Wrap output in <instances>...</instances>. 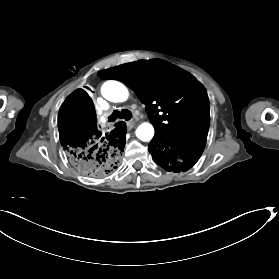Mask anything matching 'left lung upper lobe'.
Here are the masks:
<instances>
[{
  "label": "left lung upper lobe",
  "instance_id": "left-lung-upper-lobe-1",
  "mask_svg": "<svg viewBox=\"0 0 279 279\" xmlns=\"http://www.w3.org/2000/svg\"><path fill=\"white\" fill-rule=\"evenodd\" d=\"M130 87L146 105L155 137L206 143L210 125L206 90L183 71L157 60L137 61L100 71Z\"/></svg>",
  "mask_w": 279,
  "mask_h": 279
}]
</instances>
